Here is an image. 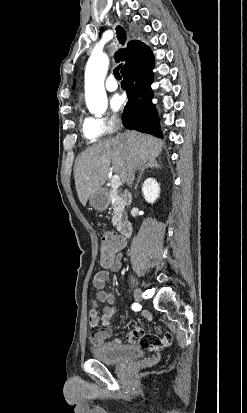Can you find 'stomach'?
I'll return each instance as SVG.
<instances>
[{"label":"stomach","instance_id":"obj_1","mask_svg":"<svg viewBox=\"0 0 247 413\" xmlns=\"http://www.w3.org/2000/svg\"><path fill=\"white\" fill-rule=\"evenodd\" d=\"M89 202L91 207H94L96 211H105L110 202L109 194L105 188H100V190H95L89 196Z\"/></svg>","mask_w":247,"mask_h":413}]
</instances>
